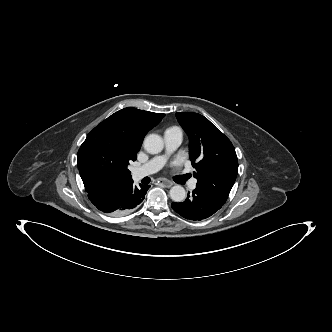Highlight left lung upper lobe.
<instances>
[{
  "mask_svg": "<svg viewBox=\"0 0 332 332\" xmlns=\"http://www.w3.org/2000/svg\"><path fill=\"white\" fill-rule=\"evenodd\" d=\"M190 139V160L196 188L224 204L238 173V159L230 140L204 116L176 113Z\"/></svg>",
  "mask_w": 332,
  "mask_h": 332,
  "instance_id": "obj_1",
  "label": "left lung upper lobe"
}]
</instances>
